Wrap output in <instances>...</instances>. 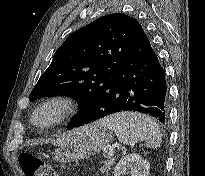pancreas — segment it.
I'll return each mask as SVG.
<instances>
[{"mask_svg":"<svg viewBox=\"0 0 205 176\" xmlns=\"http://www.w3.org/2000/svg\"><path fill=\"white\" fill-rule=\"evenodd\" d=\"M114 163H115V157L109 155L105 156V160L103 161L104 166L100 168V172L108 175Z\"/></svg>","mask_w":205,"mask_h":176,"instance_id":"obj_1","label":"pancreas"}]
</instances>
